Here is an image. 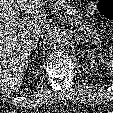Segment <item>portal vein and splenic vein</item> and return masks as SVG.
Instances as JSON below:
<instances>
[{
  "label": "portal vein and splenic vein",
  "mask_w": 113,
  "mask_h": 113,
  "mask_svg": "<svg viewBox=\"0 0 113 113\" xmlns=\"http://www.w3.org/2000/svg\"><path fill=\"white\" fill-rule=\"evenodd\" d=\"M25 21H26L25 18L18 19V21L15 22V27L18 29H23L25 26Z\"/></svg>",
  "instance_id": "portal-vein-and-splenic-vein-1"
}]
</instances>
